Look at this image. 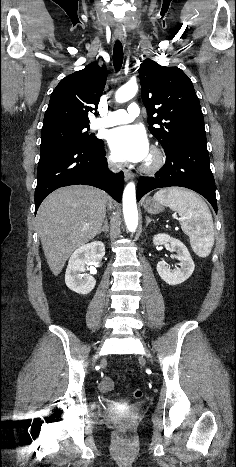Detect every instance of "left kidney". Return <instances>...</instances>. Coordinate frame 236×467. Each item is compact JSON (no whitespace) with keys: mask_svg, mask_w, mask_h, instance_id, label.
<instances>
[{"mask_svg":"<svg viewBox=\"0 0 236 467\" xmlns=\"http://www.w3.org/2000/svg\"><path fill=\"white\" fill-rule=\"evenodd\" d=\"M170 243L171 251L177 253L176 258L180 261V268L171 271L165 261L157 264L159 276L169 285H178L186 281L193 273L195 265L187 247L178 239L167 234H158L153 237L155 246Z\"/></svg>","mask_w":236,"mask_h":467,"instance_id":"5707ae66","label":"left kidney"}]
</instances>
